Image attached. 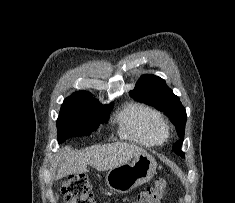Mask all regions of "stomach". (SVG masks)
<instances>
[{
    "instance_id": "obj_1",
    "label": "stomach",
    "mask_w": 235,
    "mask_h": 203,
    "mask_svg": "<svg viewBox=\"0 0 235 203\" xmlns=\"http://www.w3.org/2000/svg\"><path fill=\"white\" fill-rule=\"evenodd\" d=\"M157 163L149 154H140L132 162H127L108 171L107 186L118 193H128L154 176Z\"/></svg>"
}]
</instances>
